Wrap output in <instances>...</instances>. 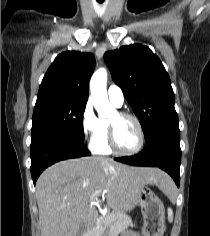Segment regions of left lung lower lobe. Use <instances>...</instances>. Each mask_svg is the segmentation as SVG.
Returning <instances> with one entry per match:
<instances>
[{
	"label": "left lung lower lobe",
	"mask_w": 210,
	"mask_h": 236,
	"mask_svg": "<svg viewBox=\"0 0 210 236\" xmlns=\"http://www.w3.org/2000/svg\"><path fill=\"white\" fill-rule=\"evenodd\" d=\"M115 160L134 166L159 167L170 174L179 187L181 163L179 126L167 125L156 129L146 138L142 152Z\"/></svg>",
	"instance_id": "obj_1"
}]
</instances>
